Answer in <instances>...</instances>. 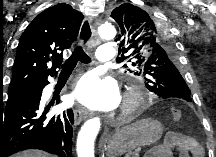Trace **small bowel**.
Here are the masks:
<instances>
[{"instance_id": "obj_1", "label": "small bowel", "mask_w": 216, "mask_h": 157, "mask_svg": "<svg viewBox=\"0 0 216 157\" xmlns=\"http://www.w3.org/2000/svg\"><path fill=\"white\" fill-rule=\"evenodd\" d=\"M174 152H177L179 157L204 156V149L196 139L176 131L167 135L159 157H173Z\"/></svg>"}]
</instances>
